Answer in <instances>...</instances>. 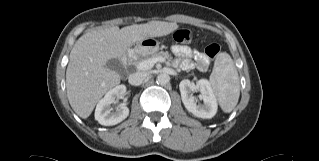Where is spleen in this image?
Here are the masks:
<instances>
[{"mask_svg": "<svg viewBox=\"0 0 319 161\" xmlns=\"http://www.w3.org/2000/svg\"><path fill=\"white\" fill-rule=\"evenodd\" d=\"M209 83L221 109L230 113L239 100L240 82L237 69L228 53L221 52L217 55Z\"/></svg>", "mask_w": 319, "mask_h": 161, "instance_id": "3e777b00", "label": "spleen"}]
</instances>
